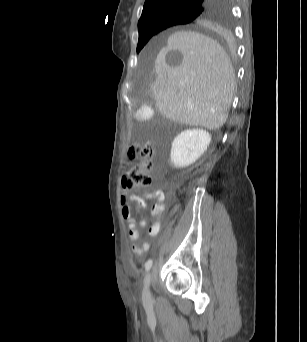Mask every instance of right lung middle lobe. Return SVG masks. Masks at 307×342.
<instances>
[{
  "label": "right lung middle lobe",
  "instance_id": "dd1d6c3e",
  "mask_svg": "<svg viewBox=\"0 0 307 342\" xmlns=\"http://www.w3.org/2000/svg\"><path fill=\"white\" fill-rule=\"evenodd\" d=\"M200 11L197 9H184L179 11H172L163 14L156 25L139 31V40L137 45V52H139L149 41V39L171 26L187 24L198 17Z\"/></svg>",
  "mask_w": 307,
  "mask_h": 342
}]
</instances>
